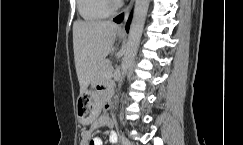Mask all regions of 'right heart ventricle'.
Here are the masks:
<instances>
[{"instance_id":"right-heart-ventricle-1","label":"right heart ventricle","mask_w":243,"mask_h":145,"mask_svg":"<svg viewBox=\"0 0 243 145\" xmlns=\"http://www.w3.org/2000/svg\"><path fill=\"white\" fill-rule=\"evenodd\" d=\"M77 10L82 19L87 22H96L107 18L111 10L105 0H76Z\"/></svg>"}]
</instances>
